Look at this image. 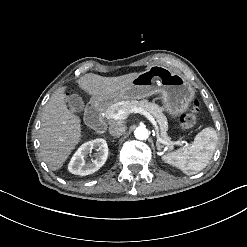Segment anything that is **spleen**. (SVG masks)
I'll return each mask as SVG.
<instances>
[{"instance_id": "1", "label": "spleen", "mask_w": 247, "mask_h": 247, "mask_svg": "<svg viewBox=\"0 0 247 247\" xmlns=\"http://www.w3.org/2000/svg\"><path fill=\"white\" fill-rule=\"evenodd\" d=\"M217 140L215 129L206 127L197 134L192 146L183 151L167 153L164 160L188 175L197 174L209 164Z\"/></svg>"}]
</instances>
